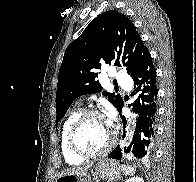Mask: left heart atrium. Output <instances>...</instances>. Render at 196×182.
Segmentation results:
<instances>
[{"label": "left heart atrium", "instance_id": "left-heart-atrium-1", "mask_svg": "<svg viewBox=\"0 0 196 182\" xmlns=\"http://www.w3.org/2000/svg\"><path fill=\"white\" fill-rule=\"evenodd\" d=\"M106 123H107L109 128L112 127V123H113V115L112 114L108 115V119L106 120Z\"/></svg>", "mask_w": 196, "mask_h": 182}]
</instances>
